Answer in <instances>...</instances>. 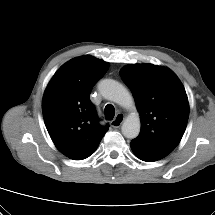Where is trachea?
Instances as JSON below:
<instances>
[{
  "label": "trachea",
  "instance_id": "1",
  "mask_svg": "<svg viewBox=\"0 0 215 215\" xmlns=\"http://www.w3.org/2000/svg\"><path fill=\"white\" fill-rule=\"evenodd\" d=\"M104 112L107 120H112L114 118L115 109L112 105H106Z\"/></svg>",
  "mask_w": 215,
  "mask_h": 215
}]
</instances>
